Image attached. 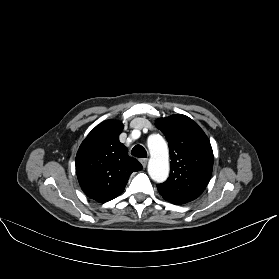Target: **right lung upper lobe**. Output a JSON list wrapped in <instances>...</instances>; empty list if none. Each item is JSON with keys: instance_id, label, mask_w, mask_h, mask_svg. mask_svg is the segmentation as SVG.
I'll return each instance as SVG.
<instances>
[{"instance_id": "obj_1", "label": "right lung upper lobe", "mask_w": 279, "mask_h": 279, "mask_svg": "<svg viewBox=\"0 0 279 279\" xmlns=\"http://www.w3.org/2000/svg\"><path fill=\"white\" fill-rule=\"evenodd\" d=\"M122 130L120 121L106 120L89 133L77 152L79 184L88 197L98 202L120 195L131 173L143 168L119 141Z\"/></svg>"}]
</instances>
